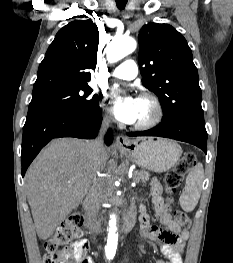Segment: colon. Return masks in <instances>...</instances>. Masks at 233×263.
Returning <instances> with one entry per match:
<instances>
[{
	"mask_svg": "<svg viewBox=\"0 0 233 263\" xmlns=\"http://www.w3.org/2000/svg\"><path fill=\"white\" fill-rule=\"evenodd\" d=\"M194 163L195 155L187 152L176 167L166 174L164 183L168 194L175 193L184 175ZM173 217L181 228L190 227L191 220L185 212L175 210ZM82 223L83 216L78 212L70 214L60 223L53 235L44 243V263H86L88 245L81 239Z\"/></svg>",
	"mask_w": 233,
	"mask_h": 263,
	"instance_id": "1",
	"label": "colon"
}]
</instances>
